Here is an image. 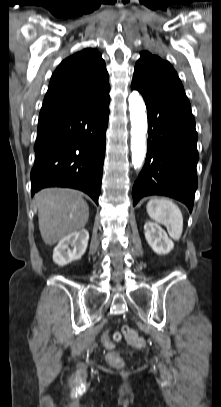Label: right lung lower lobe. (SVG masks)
Returning a JSON list of instances; mask_svg holds the SVG:
<instances>
[{
	"instance_id": "obj_1",
	"label": "right lung lower lobe",
	"mask_w": 221,
	"mask_h": 407,
	"mask_svg": "<svg viewBox=\"0 0 221 407\" xmlns=\"http://www.w3.org/2000/svg\"><path fill=\"white\" fill-rule=\"evenodd\" d=\"M109 94L82 108L39 118L31 193L70 187L97 204L105 156Z\"/></svg>"
}]
</instances>
